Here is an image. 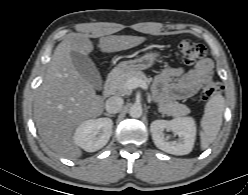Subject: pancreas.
Listing matches in <instances>:
<instances>
[{
  "mask_svg": "<svg viewBox=\"0 0 248 195\" xmlns=\"http://www.w3.org/2000/svg\"><path fill=\"white\" fill-rule=\"evenodd\" d=\"M137 78L143 81H146V76L141 71H131L122 73L117 76L114 80L111 81L110 86L114 91H118L123 95L129 94L131 90L125 88L126 82L129 79ZM159 112L162 114H166L168 116L180 117L183 115H187L189 113V108L185 105L180 104L178 102H169L164 106H159Z\"/></svg>",
  "mask_w": 248,
  "mask_h": 195,
  "instance_id": "1",
  "label": "pancreas"
}]
</instances>
